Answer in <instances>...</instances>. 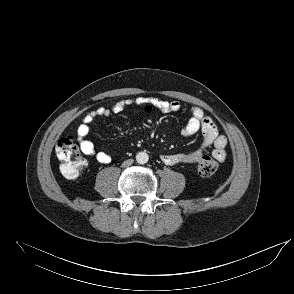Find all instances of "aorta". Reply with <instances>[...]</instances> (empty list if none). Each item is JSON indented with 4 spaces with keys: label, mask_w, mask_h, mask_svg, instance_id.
I'll return each instance as SVG.
<instances>
[{
    "label": "aorta",
    "mask_w": 294,
    "mask_h": 294,
    "mask_svg": "<svg viewBox=\"0 0 294 294\" xmlns=\"http://www.w3.org/2000/svg\"><path fill=\"white\" fill-rule=\"evenodd\" d=\"M149 160V156L146 152H139L137 153L136 155V161L139 163V164H145L147 163Z\"/></svg>",
    "instance_id": "1"
}]
</instances>
